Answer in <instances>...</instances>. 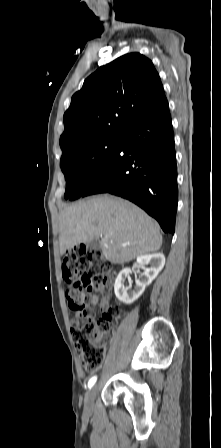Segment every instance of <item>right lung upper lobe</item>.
I'll return each mask as SVG.
<instances>
[{"mask_svg":"<svg viewBox=\"0 0 221 448\" xmlns=\"http://www.w3.org/2000/svg\"><path fill=\"white\" fill-rule=\"evenodd\" d=\"M164 99L159 74L144 55L129 53L100 67L72 96L64 114L62 157L90 141L119 135Z\"/></svg>","mask_w":221,"mask_h":448,"instance_id":"cb5924a9","label":"right lung upper lobe"}]
</instances>
